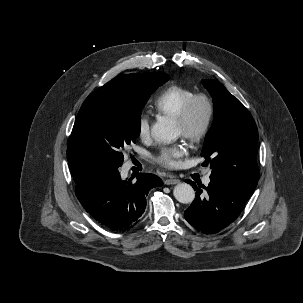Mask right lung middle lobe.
<instances>
[{
  "instance_id": "obj_1",
  "label": "right lung middle lobe",
  "mask_w": 303,
  "mask_h": 303,
  "mask_svg": "<svg viewBox=\"0 0 303 303\" xmlns=\"http://www.w3.org/2000/svg\"><path fill=\"white\" fill-rule=\"evenodd\" d=\"M168 80L157 72L142 91H126L105 84L84 101L73 126L67 159L75 179L87 174L83 162L95 168L118 169L123 151L140 134L141 110L152 92Z\"/></svg>"
}]
</instances>
